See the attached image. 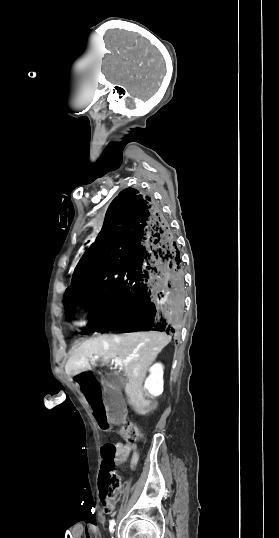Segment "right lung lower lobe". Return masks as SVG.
Masks as SVG:
<instances>
[{"label":"right lung lower lobe","mask_w":279,"mask_h":538,"mask_svg":"<svg viewBox=\"0 0 279 538\" xmlns=\"http://www.w3.org/2000/svg\"><path fill=\"white\" fill-rule=\"evenodd\" d=\"M180 252L161 208L133 188L110 204L96 241L75 268L65 308L92 305L87 332L174 334L184 310Z\"/></svg>","instance_id":"1"}]
</instances>
